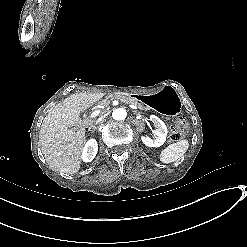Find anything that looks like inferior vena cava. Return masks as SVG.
Instances as JSON below:
<instances>
[{"label":"inferior vena cava","instance_id":"602c4592","mask_svg":"<svg viewBox=\"0 0 247 247\" xmlns=\"http://www.w3.org/2000/svg\"><path fill=\"white\" fill-rule=\"evenodd\" d=\"M105 116H101L97 121H96V124L102 122L104 120Z\"/></svg>","mask_w":247,"mask_h":247}]
</instances>
